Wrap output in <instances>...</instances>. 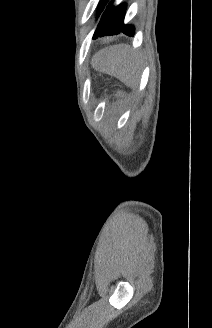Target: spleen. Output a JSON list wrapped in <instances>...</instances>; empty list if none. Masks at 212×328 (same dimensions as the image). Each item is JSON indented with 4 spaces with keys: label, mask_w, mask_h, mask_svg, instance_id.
Masks as SVG:
<instances>
[{
    "label": "spleen",
    "mask_w": 212,
    "mask_h": 328,
    "mask_svg": "<svg viewBox=\"0 0 212 328\" xmlns=\"http://www.w3.org/2000/svg\"><path fill=\"white\" fill-rule=\"evenodd\" d=\"M127 47H125L124 55L126 54ZM118 78L124 82L129 87H134L138 81V75L136 73V68L131 64V62H125L122 71L117 74Z\"/></svg>",
    "instance_id": "1"
}]
</instances>
